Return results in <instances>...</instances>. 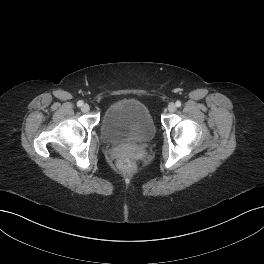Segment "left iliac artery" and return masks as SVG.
<instances>
[{
    "label": "left iliac artery",
    "instance_id": "obj_1",
    "mask_svg": "<svg viewBox=\"0 0 264 264\" xmlns=\"http://www.w3.org/2000/svg\"><path fill=\"white\" fill-rule=\"evenodd\" d=\"M176 106L180 107L181 106V102L180 101H176Z\"/></svg>",
    "mask_w": 264,
    "mask_h": 264
}]
</instances>
